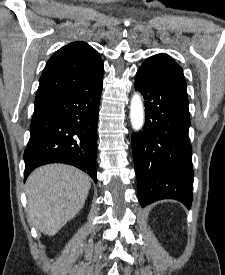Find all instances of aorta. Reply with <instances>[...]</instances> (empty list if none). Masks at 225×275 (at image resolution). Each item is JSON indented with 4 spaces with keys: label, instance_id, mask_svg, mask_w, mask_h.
<instances>
[{
    "label": "aorta",
    "instance_id": "1",
    "mask_svg": "<svg viewBox=\"0 0 225 275\" xmlns=\"http://www.w3.org/2000/svg\"><path fill=\"white\" fill-rule=\"evenodd\" d=\"M144 106L139 93H134L130 104V119L134 131H139L144 125Z\"/></svg>",
    "mask_w": 225,
    "mask_h": 275
}]
</instances>
